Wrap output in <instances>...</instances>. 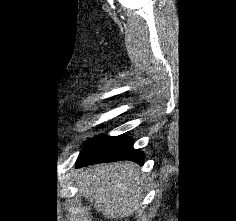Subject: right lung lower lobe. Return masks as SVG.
Wrapping results in <instances>:
<instances>
[{"label": "right lung lower lobe", "mask_w": 236, "mask_h": 221, "mask_svg": "<svg viewBox=\"0 0 236 221\" xmlns=\"http://www.w3.org/2000/svg\"><path fill=\"white\" fill-rule=\"evenodd\" d=\"M132 140L128 137L99 136L89 141L82 149L77 161V167L100 163L130 160L143 164L144 153L135 150Z\"/></svg>", "instance_id": "right-lung-lower-lobe-1"}]
</instances>
